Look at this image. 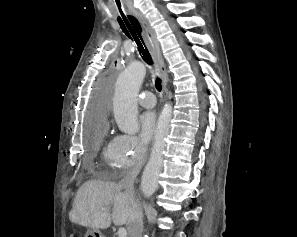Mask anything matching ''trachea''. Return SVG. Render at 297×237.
Here are the masks:
<instances>
[{
  "label": "trachea",
  "instance_id": "obj_1",
  "mask_svg": "<svg viewBox=\"0 0 297 237\" xmlns=\"http://www.w3.org/2000/svg\"><path fill=\"white\" fill-rule=\"evenodd\" d=\"M122 31L137 44L138 51L142 56V59L148 64L152 65L151 55L145 45L142 37V28L140 23L135 17H129L128 19H123L118 21ZM155 87L160 92L162 90V81L159 77L155 78Z\"/></svg>",
  "mask_w": 297,
  "mask_h": 237
}]
</instances>
